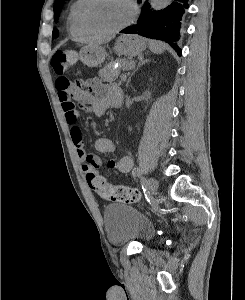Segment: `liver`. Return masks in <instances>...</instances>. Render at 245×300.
Segmentation results:
<instances>
[{"label": "liver", "instance_id": "1", "mask_svg": "<svg viewBox=\"0 0 245 300\" xmlns=\"http://www.w3.org/2000/svg\"><path fill=\"white\" fill-rule=\"evenodd\" d=\"M111 37L109 38H106V39H94V38H90L88 40H86V44L87 46H95V45H100V44H103V43H107L109 41H111Z\"/></svg>", "mask_w": 245, "mask_h": 300}]
</instances>
